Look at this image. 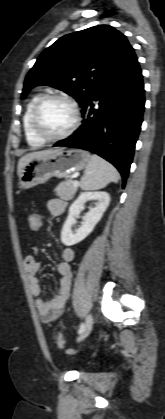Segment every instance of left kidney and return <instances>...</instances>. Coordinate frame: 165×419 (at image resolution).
Here are the masks:
<instances>
[{"mask_svg":"<svg viewBox=\"0 0 165 419\" xmlns=\"http://www.w3.org/2000/svg\"><path fill=\"white\" fill-rule=\"evenodd\" d=\"M88 201H96L95 207L90 208L85 216L83 224L73 232L72 227L76 222L75 216L84 209V206ZM109 203L110 196L107 192H82L69 208L68 217L61 231L62 243L66 246H72L84 240L100 221L109 206Z\"/></svg>","mask_w":165,"mask_h":419,"instance_id":"1","label":"left kidney"}]
</instances>
